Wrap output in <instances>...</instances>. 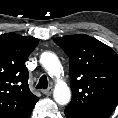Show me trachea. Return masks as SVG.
<instances>
[{
	"instance_id": "3493384b",
	"label": "trachea",
	"mask_w": 118,
	"mask_h": 118,
	"mask_svg": "<svg viewBox=\"0 0 118 118\" xmlns=\"http://www.w3.org/2000/svg\"><path fill=\"white\" fill-rule=\"evenodd\" d=\"M48 86V80L46 75H42L41 78L39 79V82L36 86L37 89H46Z\"/></svg>"
}]
</instances>
